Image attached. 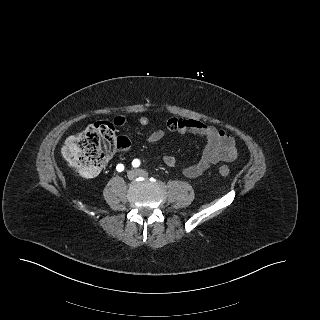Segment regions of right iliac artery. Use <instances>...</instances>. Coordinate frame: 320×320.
Masks as SVG:
<instances>
[{"instance_id": "right-iliac-artery-1", "label": "right iliac artery", "mask_w": 320, "mask_h": 320, "mask_svg": "<svg viewBox=\"0 0 320 320\" xmlns=\"http://www.w3.org/2000/svg\"><path fill=\"white\" fill-rule=\"evenodd\" d=\"M116 169H117L118 172H122L124 170V165L123 164H118L116 166Z\"/></svg>"}]
</instances>
